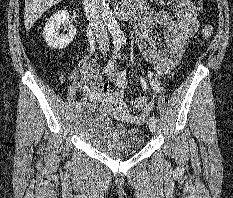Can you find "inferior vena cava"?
<instances>
[{"mask_svg":"<svg viewBox=\"0 0 233 198\" xmlns=\"http://www.w3.org/2000/svg\"><path fill=\"white\" fill-rule=\"evenodd\" d=\"M86 17L97 38V43L101 51L109 49V37L103 15L102 0H83Z\"/></svg>","mask_w":233,"mask_h":198,"instance_id":"1","label":"inferior vena cava"}]
</instances>
